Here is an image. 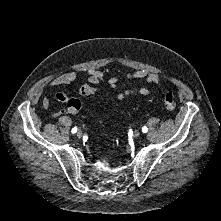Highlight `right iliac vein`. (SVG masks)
<instances>
[{
	"mask_svg": "<svg viewBox=\"0 0 221 221\" xmlns=\"http://www.w3.org/2000/svg\"><path fill=\"white\" fill-rule=\"evenodd\" d=\"M77 137H79V138L82 137V131L80 129L77 131Z\"/></svg>",
	"mask_w": 221,
	"mask_h": 221,
	"instance_id": "right-iliac-vein-1",
	"label": "right iliac vein"
}]
</instances>
